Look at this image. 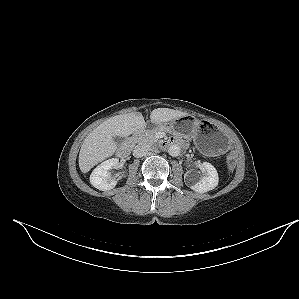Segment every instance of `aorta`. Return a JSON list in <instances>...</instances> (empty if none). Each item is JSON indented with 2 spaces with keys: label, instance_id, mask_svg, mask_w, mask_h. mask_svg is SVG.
Segmentation results:
<instances>
[{
  "label": "aorta",
  "instance_id": "obj_1",
  "mask_svg": "<svg viewBox=\"0 0 299 299\" xmlns=\"http://www.w3.org/2000/svg\"><path fill=\"white\" fill-rule=\"evenodd\" d=\"M180 147L176 144L174 145H171L169 148H168V153L169 155L173 156V157H177L179 154H180Z\"/></svg>",
  "mask_w": 299,
  "mask_h": 299
}]
</instances>
